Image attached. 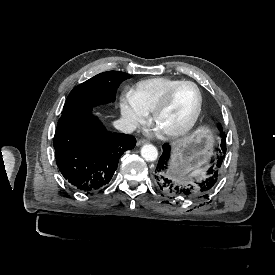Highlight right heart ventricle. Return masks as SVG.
Wrapping results in <instances>:
<instances>
[{
    "label": "right heart ventricle",
    "mask_w": 275,
    "mask_h": 275,
    "mask_svg": "<svg viewBox=\"0 0 275 275\" xmlns=\"http://www.w3.org/2000/svg\"><path fill=\"white\" fill-rule=\"evenodd\" d=\"M176 79L157 77L138 83L133 91L137 102L148 112H152L160 102L166 90Z\"/></svg>",
    "instance_id": "1"
}]
</instances>
